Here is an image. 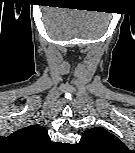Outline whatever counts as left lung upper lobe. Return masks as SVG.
Here are the masks:
<instances>
[{
	"instance_id": "obj_1",
	"label": "left lung upper lobe",
	"mask_w": 135,
	"mask_h": 153,
	"mask_svg": "<svg viewBox=\"0 0 135 153\" xmlns=\"http://www.w3.org/2000/svg\"><path fill=\"white\" fill-rule=\"evenodd\" d=\"M79 146L91 153H121L126 150L116 136L101 127L85 131Z\"/></svg>"
}]
</instances>
